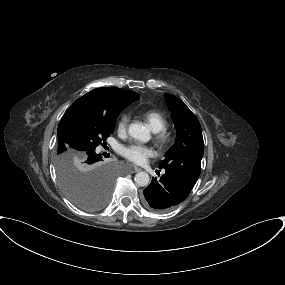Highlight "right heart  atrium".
<instances>
[{
    "instance_id": "1",
    "label": "right heart atrium",
    "mask_w": 285,
    "mask_h": 285,
    "mask_svg": "<svg viewBox=\"0 0 285 285\" xmlns=\"http://www.w3.org/2000/svg\"><path fill=\"white\" fill-rule=\"evenodd\" d=\"M129 122H130V117L128 115H122L119 118L116 124V128L119 134H125L127 132Z\"/></svg>"
}]
</instances>
